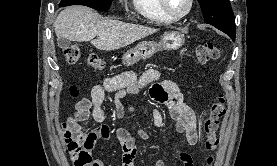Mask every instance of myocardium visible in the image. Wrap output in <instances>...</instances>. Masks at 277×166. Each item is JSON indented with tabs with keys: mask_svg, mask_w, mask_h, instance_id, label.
I'll return each mask as SVG.
<instances>
[{
	"mask_svg": "<svg viewBox=\"0 0 277 166\" xmlns=\"http://www.w3.org/2000/svg\"><path fill=\"white\" fill-rule=\"evenodd\" d=\"M159 6L161 10L164 12L165 15H167L172 20H180L184 17H186L192 10L194 5V0H188V6L182 13H174L171 11V9L168 6L167 0H158Z\"/></svg>",
	"mask_w": 277,
	"mask_h": 166,
	"instance_id": "1",
	"label": "myocardium"
}]
</instances>
